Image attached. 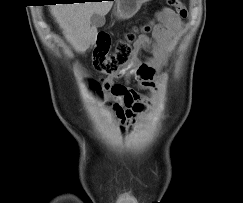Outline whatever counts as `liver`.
I'll list each match as a JSON object with an SVG mask.
<instances>
[{
	"instance_id": "obj_1",
	"label": "liver",
	"mask_w": 243,
	"mask_h": 203,
	"mask_svg": "<svg viewBox=\"0 0 243 203\" xmlns=\"http://www.w3.org/2000/svg\"><path fill=\"white\" fill-rule=\"evenodd\" d=\"M112 5V1L57 4L50 7V12L74 49L85 53L97 38V29L91 26V16L94 13L106 15Z\"/></svg>"
}]
</instances>
